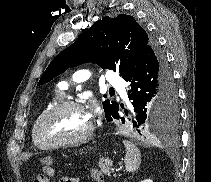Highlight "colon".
Masks as SVG:
<instances>
[{
  "label": "colon",
  "instance_id": "colon-1",
  "mask_svg": "<svg viewBox=\"0 0 211 182\" xmlns=\"http://www.w3.org/2000/svg\"><path fill=\"white\" fill-rule=\"evenodd\" d=\"M43 172H44L45 175H38L35 178L34 182H46V176L50 177L54 173L53 168L51 166H49V165H46V166L43 167ZM92 177L97 182H102V180H103L102 174L98 170H93L92 171Z\"/></svg>",
  "mask_w": 211,
  "mask_h": 182
}]
</instances>
